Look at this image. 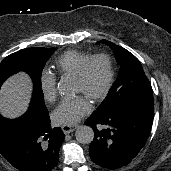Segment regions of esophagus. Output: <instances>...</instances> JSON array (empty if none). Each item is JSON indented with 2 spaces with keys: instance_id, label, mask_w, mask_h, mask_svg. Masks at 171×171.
<instances>
[{
  "instance_id": "obj_1",
  "label": "esophagus",
  "mask_w": 171,
  "mask_h": 171,
  "mask_svg": "<svg viewBox=\"0 0 171 171\" xmlns=\"http://www.w3.org/2000/svg\"><path fill=\"white\" fill-rule=\"evenodd\" d=\"M77 128V125H63L61 127L64 134H69Z\"/></svg>"
}]
</instances>
